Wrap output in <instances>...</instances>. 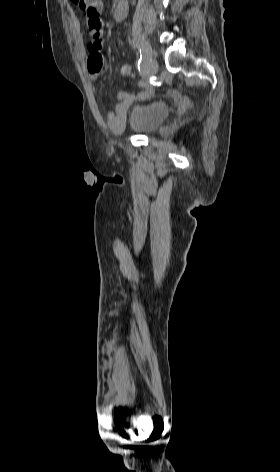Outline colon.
<instances>
[{
	"mask_svg": "<svg viewBox=\"0 0 280 472\" xmlns=\"http://www.w3.org/2000/svg\"><path fill=\"white\" fill-rule=\"evenodd\" d=\"M86 15L87 20L92 23L100 21V2L99 0H71ZM119 73L123 76L134 77L131 67L127 64L119 66Z\"/></svg>",
	"mask_w": 280,
	"mask_h": 472,
	"instance_id": "1",
	"label": "colon"
}]
</instances>
